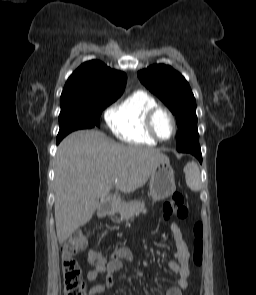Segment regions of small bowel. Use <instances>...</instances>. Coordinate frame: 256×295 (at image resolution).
<instances>
[{"mask_svg":"<svg viewBox=\"0 0 256 295\" xmlns=\"http://www.w3.org/2000/svg\"><path fill=\"white\" fill-rule=\"evenodd\" d=\"M172 237L175 243L174 260L167 263L169 270L178 274L177 286L168 289L166 295H182V291L188 288L189 261L190 253L188 244L183 237V233L176 223L171 224ZM133 256L127 247L117 248L108 258L98 264L88 272L87 279L89 282H95L96 279L104 274L105 281L103 284H94L91 287V295H96L111 288L113 284V273L119 271L123 266V261H132Z\"/></svg>","mask_w":256,"mask_h":295,"instance_id":"small-bowel-1","label":"small bowel"}]
</instances>
